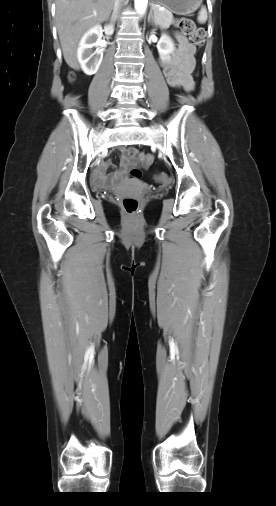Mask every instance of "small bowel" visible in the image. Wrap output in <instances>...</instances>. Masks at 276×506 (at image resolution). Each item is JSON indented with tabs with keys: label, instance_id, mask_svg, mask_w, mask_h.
I'll return each mask as SVG.
<instances>
[{
	"label": "small bowel",
	"instance_id": "obj_1",
	"mask_svg": "<svg viewBox=\"0 0 276 506\" xmlns=\"http://www.w3.org/2000/svg\"><path fill=\"white\" fill-rule=\"evenodd\" d=\"M179 48L168 61H163V74L168 84L172 87L182 88L185 91H191L194 88V82L191 72L194 67L193 55L194 47L188 42L182 34L177 35ZM140 161L144 167L151 163V157L140 153L136 148H124L121 152V162L119 169L112 175L106 176L104 171L111 164L102 162L94 171L93 179L96 188L106 189L115 186L126 180L127 171Z\"/></svg>",
	"mask_w": 276,
	"mask_h": 506
}]
</instances>
